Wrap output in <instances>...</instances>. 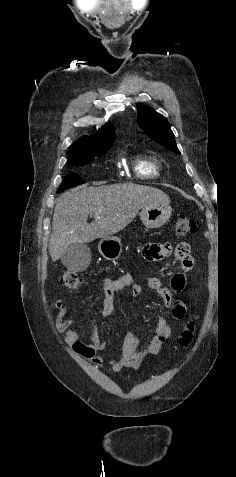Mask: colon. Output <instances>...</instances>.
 I'll list each match as a JSON object with an SVG mask.
<instances>
[{"instance_id":"colon-1","label":"colon","mask_w":236,"mask_h":477,"mask_svg":"<svg viewBox=\"0 0 236 477\" xmlns=\"http://www.w3.org/2000/svg\"><path fill=\"white\" fill-rule=\"evenodd\" d=\"M197 232V224L196 222L187 217V216H180L174 225V234L177 237H184L188 235H193ZM180 253L185 254L187 253L186 249L179 250ZM60 284L63 287L69 289H78L84 285V279L76 272L73 271H65L60 278ZM194 333V325L191 323L188 325V328L184 331L181 337V344L183 346H188L192 340V336Z\"/></svg>"}]
</instances>
